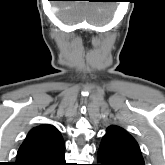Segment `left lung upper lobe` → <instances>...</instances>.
Segmentation results:
<instances>
[{
    "label": "left lung upper lobe",
    "mask_w": 165,
    "mask_h": 165,
    "mask_svg": "<svg viewBox=\"0 0 165 165\" xmlns=\"http://www.w3.org/2000/svg\"><path fill=\"white\" fill-rule=\"evenodd\" d=\"M98 152L112 165H145L135 139L115 125L107 128Z\"/></svg>",
    "instance_id": "left-lung-upper-lobe-1"
}]
</instances>
